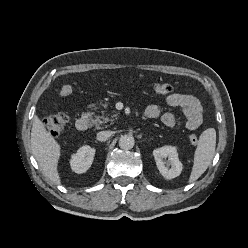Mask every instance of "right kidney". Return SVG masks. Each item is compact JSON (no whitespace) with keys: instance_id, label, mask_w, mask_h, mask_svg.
<instances>
[{"instance_id":"right-kidney-1","label":"right kidney","mask_w":248,"mask_h":248,"mask_svg":"<svg viewBox=\"0 0 248 248\" xmlns=\"http://www.w3.org/2000/svg\"><path fill=\"white\" fill-rule=\"evenodd\" d=\"M96 150L89 145L80 147L70 160L71 169L78 174L86 172L92 165Z\"/></svg>"}]
</instances>
